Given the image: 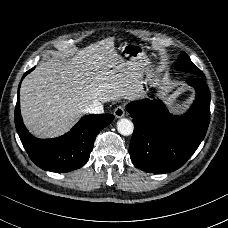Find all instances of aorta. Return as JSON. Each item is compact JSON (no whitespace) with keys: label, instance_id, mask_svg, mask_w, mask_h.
<instances>
[{"label":"aorta","instance_id":"762f6f07","mask_svg":"<svg viewBox=\"0 0 228 228\" xmlns=\"http://www.w3.org/2000/svg\"><path fill=\"white\" fill-rule=\"evenodd\" d=\"M117 129L121 135L130 136L134 132V125L129 119L123 118L118 121Z\"/></svg>","mask_w":228,"mask_h":228}]
</instances>
